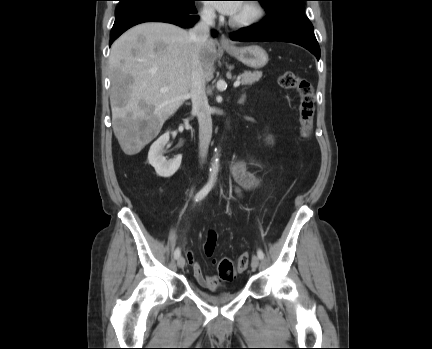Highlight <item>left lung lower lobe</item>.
Instances as JSON below:
<instances>
[{
	"instance_id": "1",
	"label": "left lung lower lobe",
	"mask_w": 432,
	"mask_h": 349,
	"mask_svg": "<svg viewBox=\"0 0 432 349\" xmlns=\"http://www.w3.org/2000/svg\"><path fill=\"white\" fill-rule=\"evenodd\" d=\"M235 41H282L300 45L320 58V48L313 25L305 14L274 11L267 18L231 34Z\"/></svg>"
}]
</instances>
